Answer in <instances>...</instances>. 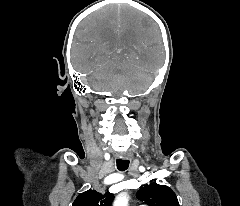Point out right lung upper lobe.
Wrapping results in <instances>:
<instances>
[{
    "label": "right lung upper lobe",
    "mask_w": 240,
    "mask_h": 206,
    "mask_svg": "<svg viewBox=\"0 0 240 206\" xmlns=\"http://www.w3.org/2000/svg\"><path fill=\"white\" fill-rule=\"evenodd\" d=\"M114 195L106 192L101 194L95 190H88L77 196L72 206H111Z\"/></svg>",
    "instance_id": "cb5924a9"
}]
</instances>
